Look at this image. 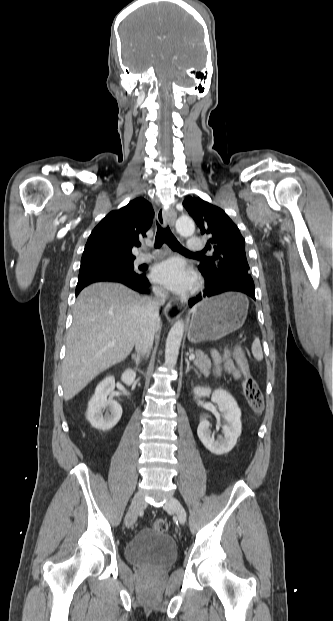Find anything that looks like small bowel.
I'll return each mask as SVG.
<instances>
[{
    "mask_svg": "<svg viewBox=\"0 0 333 621\" xmlns=\"http://www.w3.org/2000/svg\"><path fill=\"white\" fill-rule=\"evenodd\" d=\"M212 358L215 364L214 374L216 376H219L222 372H226L237 380L241 379V373L226 354L220 355L217 352H213Z\"/></svg>",
    "mask_w": 333,
    "mask_h": 621,
    "instance_id": "obj_1",
    "label": "small bowel"
}]
</instances>
